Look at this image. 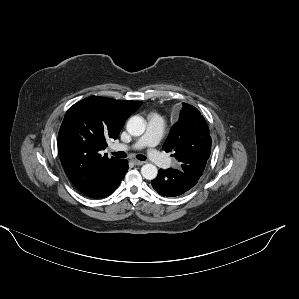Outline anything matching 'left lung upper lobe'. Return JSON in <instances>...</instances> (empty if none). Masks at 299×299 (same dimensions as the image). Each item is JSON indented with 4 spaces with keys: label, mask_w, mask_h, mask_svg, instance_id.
<instances>
[{
    "label": "left lung upper lobe",
    "mask_w": 299,
    "mask_h": 299,
    "mask_svg": "<svg viewBox=\"0 0 299 299\" xmlns=\"http://www.w3.org/2000/svg\"><path fill=\"white\" fill-rule=\"evenodd\" d=\"M182 106L179 120L173 125L163 149L173 151L180 162L179 169L199 180L211 153L209 128L198 109L186 103Z\"/></svg>",
    "instance_id": "1"
}]
</instances>
